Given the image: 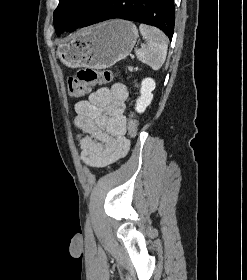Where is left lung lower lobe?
<instances>
[{
    "label": "left lung lower lobe",
    "mask_w": 247,
    "mask_h": 280,
    "mask_svg": "<svg viewBox=\"0 0 247 280\" xmlns=\"http://www.w3.org/2000/svg\"><path fill=\"white\" fill-rule=\"evenodd\" d=\"M113 18L158 27L171 40L175 24L174 0H104L91 11L79 27H86ZM72 31L70 30V32Z\"/></svg>",
    "instance_id": "0a47b994"
}]
</instances>
